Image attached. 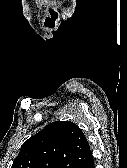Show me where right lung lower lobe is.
<instances>
[{
    "label": "right lung lower lobe",
    "mask_w": 127,
    "mask_h": 168,
    "mask_svg": "<svg viewBox=\"0 0 127 168\" xmlns=\"http://www.w3.org/2000/svg\"><path fill=\"white\" fill-rule=\"evenodd\" d=\"M75 168H95L93 157L78 164Z\"/></svg>",
    "instance_id": "right-lung-lower-lobe-1"
}]
</instances>
